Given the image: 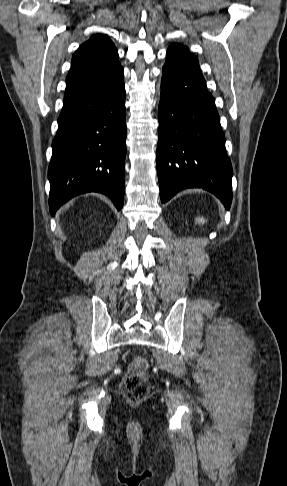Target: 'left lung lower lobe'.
<instances>
[{
	"label": "left lung lower lobe",
	"instance_id": "0a47b994",
	"mask_svg": "<svg viewBox=\"0 0 287 486\" xmlns=\"http://www.w3.org/2000/svg\"><path fill=\"white\" fill-rule=\"evenodd\" d=\"M157 173L163 203L185 188H203L229 209L232 166L215 99L200 76L167 57L162 69Z\"/></svg>",
	"mask_w": 287,
	"mask_h": 486
}]
</instances>
